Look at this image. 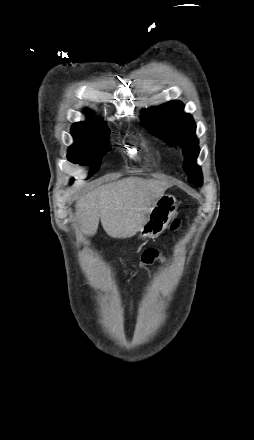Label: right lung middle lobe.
I'll list each match as a JSON object with an SVG mask.
<instances>
[{"label":"right lung middle lobe","instance_id":"right-lung-middle-lobe-1","mask_svg":"<svg viewBox=\"0 0 254 440\" xmlns=\"http://www.w3.org/2000/svg\"><path fill=\"white\" fill-rule=\"evenodd\" d=\"M109 129L102 131L82 128L71 129L75 143L68 149V159L75 164L92 163L90 175H93L100 166L102 156L109 146Z\"/></svg>","mask_w":254,"mask_h":440}]
</instances>
